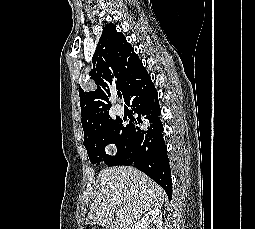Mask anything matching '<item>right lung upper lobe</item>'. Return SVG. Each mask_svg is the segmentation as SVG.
<instances>
[{
	"instance_id": "cb5924a9",
	"label": "right lung upper lobe",
	"mask_w": 255,
	"mask_h": 229,
	"mask_svg": "<svg viewBox=\"0 0 255 229\" xmlns=\"http://www.w3.org/2000/svg\"><path fill=\"white\" fill-rule=\"evenodd\" d=\"M92 63L88 77L97 87L90 91L79 87L84 141L111 118L109 97L113 89L120 90L125 99L133 75L143 67L133 47L112 23L104 27Z\"/></svg>"
}]
</instances>
